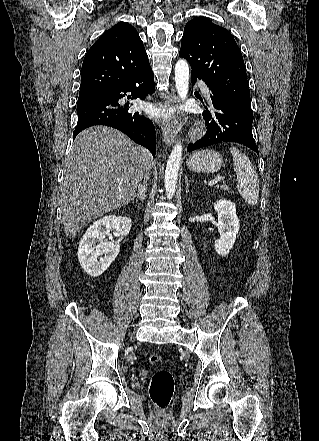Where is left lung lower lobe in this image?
I'll return each instance as SVG.
<instances>
[{
  "instance_id": "0a47b994",
  "label": "left lung lower lobe",
  "mask_w": 319,
  "mask_h": 441,
  "mask_svg": "<svg viewBox=\"0 0 319 441\" xmlns=\"http://www.w3.org/2000/svg\"><path fill=\"white\" fill-rule=\"evenodd\" d=\"M196 79L197 77L191 76L193 85ZM211 92V108L204 105L203 113L207 125L206 135L196 143L188 145V151L223 142H235L258 153L252 135L253 114L218 96L213 90Z\"/></svg>"
}]
</instances>
